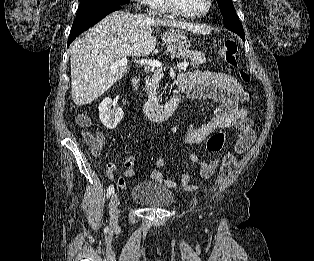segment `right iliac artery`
Here are the masks:
<instances>
[{
  "mask_svg": "<svg viewBox=\"0 0 314 261\" xmlns=\"http://www.w3.org/2000/svg\"><path fill=\"white\" fill-rule=\"evenodd\" d=\"M113 192H114V186L110 185L108 190H107V198H109L110 195L113 194Z\"/></svg>",
  "mask_w": 314,
  "mask_h": 261,
  "instance_id": "obj_1",
  "label": "right iliac artery"
}]
</instances>
